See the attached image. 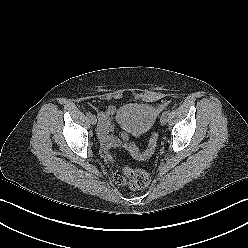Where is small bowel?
<instances>
[{
	"instance_id": "c3829d8e",
	"label": "small bowel",
	"mask_w": 248,
	"mask_h": 248,
	"mask_svg": "<svg viewBox=\"0 0 248 248\" xmlns=\"http://www.w3.org/2000/svg\"><path fill=\"white\" fill-rule=\"evenodd\" d=\"M116 113V108L114 106H109L105 111L99 113V125L97 128V134L101 146L104 149H109L112 147H117L125 142H127L129 138V134L131 133L122 125V131L119 135H113L112 131L114 130V117ZM118 121V119H117Z\"/></svg>"
}]
</instances>
